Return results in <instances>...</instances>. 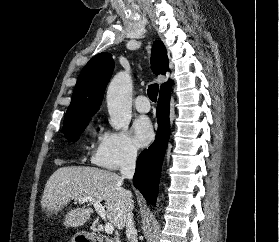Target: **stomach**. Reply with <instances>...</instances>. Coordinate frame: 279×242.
Here are the masks:
<instances>
[{
  "mask_svg": "<svg viewBox=\"0 0 279 242\" xmlns=\"http://www.w3.org/2000/svg\"><path fill=\"white\" fill-rule=\"evenodd\" d=\"M88 239H90L89 234H87L85 232H77L72 237V242H85Z\"/></svg>",
  "mask_w": 279,
  "mask_h": 242,
  "instance_id": "1",
  "label": "stomach"
}]
</instances>
